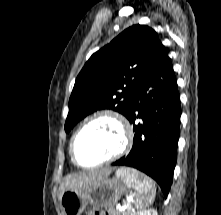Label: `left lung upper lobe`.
<instances>
[{"label": "left lung upper lobe", "mask_w": 221, "mask_h": 215, "mask_svg": "<svg viewBox=\"0 0 221 215\" xmlns=\"http://www.w3.org/2000/svg\"><path fill=\"white\" fill-rule=\"evenodd\" d=\"M161 46L155 30L137 24L95 52L76 78L65 131L99 109H112L127 117L130 103Z\"/></svg>", "instance_id": "1"}]
</instances>
